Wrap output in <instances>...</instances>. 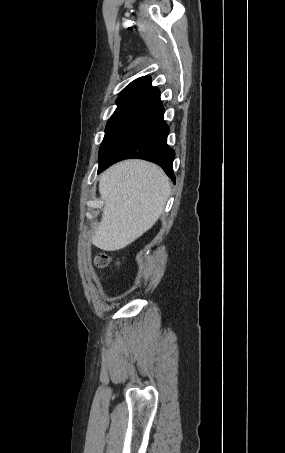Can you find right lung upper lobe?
<instances>
[{
    "label": "right lung upper lobe",
    "mask_w": 285,
    "mask_h": 453,
    "mask_svg": "<svg viewBox=\"0 0 285 453\" xmlns=\"http://www.w3.org/2000/svg\"><path fill=\"white\" fill-rule=\"evenodd\" d=\"M150 82H151L150 76H143V77H140V78L134 80L120 92L119 98L117 100H123V101L127 100L134 93H136L138 90H140L142 87H144L145 85H147Z\"/></svg>",
    "instance_id": "cb5924a9"
}]
</instances>
